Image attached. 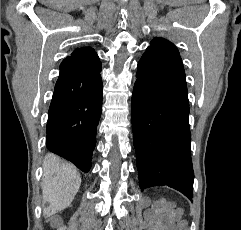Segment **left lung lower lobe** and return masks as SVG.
<instances>
[{
	"label": "left lung lower lobe",
	"mask_w": 241,
	"mask_h": 230,
	"mask_svg": "<svg viewBox=\"0 0 241 230\" xmlns=\"http://www.w3.org/2000/svg\"><path fill=\"white\" fill-rule=\"evenodd\" d=\"M132 95L139 184L172 187L193 197L189 101L184 69L143 54Z\"/></svg>",
	"instance_id": "0a47b994"
}]
</instances>
